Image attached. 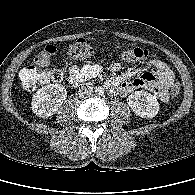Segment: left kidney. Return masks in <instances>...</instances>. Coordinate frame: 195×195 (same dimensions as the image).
<instances>
[{
    "label": "left kidney",
    "instance_id": "1",
    "mask_svg": "<svg viewBox=\"0 0 195 195\" xmlns=\"http://www.w3.org/2000/svg\"><path fill=\"white\" fill-rule=\"evenodd\" d=\"M133 112L142 118H153L159 112V103L154 95L146 91H135L127 98Z\"/></svg>",
    "mask_w": 195,
    "mask_h": 195
}]
</instances>
